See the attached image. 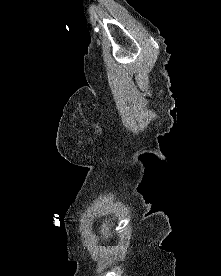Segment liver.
<instances>
[{"label":"liver","mask_w":221,"mask_h":276,"mask_svg":"<svg viewBox=\"0 0 221 276\" xmlns=\"http://www.w3.org/2000/svg\"><path fill=\"white\" fill-rule=\"evenodd\" d=\"M110 229V226L107 224V222H103L102 227H101V232H108Z\"/></svg>","instance_id":"liver-1"}]
</instances>
